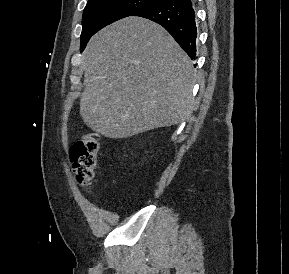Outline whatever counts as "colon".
Instances as JSON below:
<instances>
[{
	"label": "colon",
	"instance_id": "5ec220e1",
	"mask_svg": "<svg viewBox=\"0 0 289 274\" xmlns=\"http://www.w3.org/2000/svg\"><path fill=\"white\" fill-rule=\"evenodd\" d=\"M99 136L91 132L83 135L70 148V159L78 183L89 188L92 184L97 167Z\"/></svg>",
	"mask_w": 289,
	"mask_h": 274
}]
</instances>
